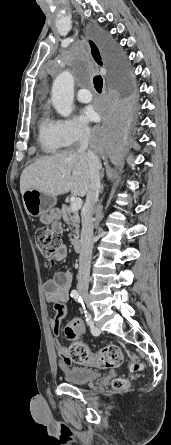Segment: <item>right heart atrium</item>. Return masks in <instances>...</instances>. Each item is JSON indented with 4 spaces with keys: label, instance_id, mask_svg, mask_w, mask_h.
I'll return each mask as SVG.
<instances>
[{
    "label": "right heart atrium",
    "instance_id": "right-heart-atrium-1",
    "mask_svg": "<svg viewBox=\"0 0 171 445\" xmlns=\"http://www.w3.org/2000/svg\"><path fill=\"white\" fill-rule=\"evenodd\" d=\"M57 129L65 145H73L87 138L89 127L78 118L72 117L56 121Z\"/></svg>",
    "mask_w": 171,
    "mask_h": 445
}]
</instances>
